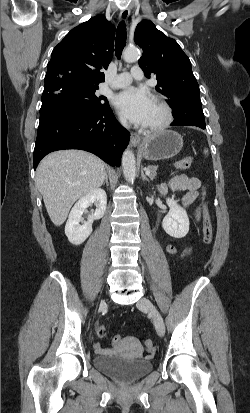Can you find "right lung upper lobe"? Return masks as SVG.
Masks as SVG:
<instances>
[{
    "label": "right lung upper lobe",
    "mask_w": 250,
    "mask_h": 413,
    "mask_svg": "<svg viewBox=\"0 0 250 413\" xmlns=\"http://www.w3.org/2000/svg\"><path fill=\"white\" fill-rule=\"evenodd\" d=\"M115 27L102 15L72 29L53 49L43 94L65 86L98 87L113 55Z\"/></svg>",
    "instance_id": "1"
}]
</instances>
